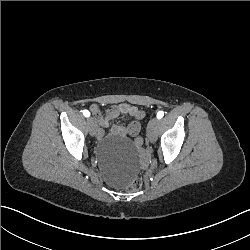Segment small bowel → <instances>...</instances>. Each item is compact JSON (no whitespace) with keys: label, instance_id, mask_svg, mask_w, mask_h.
I'll return each mask as SVG.
<instances>
[{"label":"small bowel","instance_id":"small-bowel-1","mask_svg":"<svg viewBox=\"0 0 250 250\" xmlns=\"http://www.w3.org/2000/svg\"><path fill=\"white\" fill-rule=\"evenodd\" d=\"M91 111L98 121L99 130L97 136L99 138L104 135V129L108 126L109 121L116 118L120 114H129L132 117V121L126 126H113L111 129L112 135L136 137L140 132V123L135 119V113L138 111L136 106L122 103L120 105L112 106V108L104 114H102L96 106H92Z\"/></svg>","mask_w":250,"mask_h":250}]
</instances>
